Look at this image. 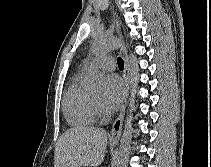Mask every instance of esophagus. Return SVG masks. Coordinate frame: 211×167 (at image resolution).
I'll list each match as a JSON object with an SVG mask.
<instances>
[{"label":"esophagus","mask_w":211,"mask_h":167,"mask_svg":"<svg viewBox=\"0 0 211 167\" xmlns=\"http://www.w3.org/2000/svg\"><path fill=\"white\" fill-rule=\"evenodd\" d=\"M113 19H114V23L116 24V33L119 35V22H118L117 14L114 11H113ZM119 52L122 55L125 62L124 71H123V78L125 81V91H124L123 103H122L120 114L117 117V119L114 121L113 126H112L111 135H110L111 141H118L121 136L122 124H123V119H124L125 110H126V103H127V98L129 95V88H130L127 53H126V49L123 42L120 43Z\"/></svg>","instance_id":"1"}]
</instances>
